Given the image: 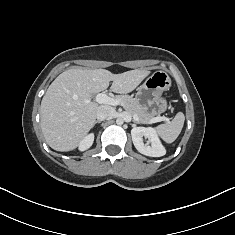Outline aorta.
<instances>
[{"instance_id":"aorta-1","label":"aorta","mask_w":235,"mask_h":235,"mask_svg":"<svg viewBox=\"0 0 235 235\" xmlns=\"http://www.w3.org/2000/svg\"><path fill=\"white\" fill-rule=\"evenodd\" d=\"M123 122H124V120H123L122 118H117V120H116V123H117L118 125H122Z\"/></svg>"}]
</instances>
